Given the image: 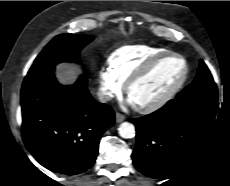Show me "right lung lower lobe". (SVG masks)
Masks as SVG:
<instances>
[{
	"label": "right lung lower lobe",
	"instance_id": "98d812e1",
	"mask_svg": "<svg viewBox=\"0 0 230 186\" xmlns=\"http://www.w3.org/2000/svg\"><path fill=\"white\" fill-rule=\"evenodd\" d=\"M80 76L60 85L54 68L29 74L21 90L22 137L27 149L45 168L66 175L90 168L101 135L114 124V111L96 102Z\"/></svg>",
	"mask_w": 230,
	"mask_h": 186
}]
</instances>
